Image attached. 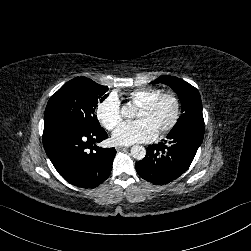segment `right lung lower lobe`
<instances>
[{"label": "right lung lower lobe", "mask_w": 251, "mask_h": 251, "mask_svg": "<svg viewBox=\"0 0 251 251\" xmlns=\"http://www.w3.org/2000/svg\"><path fill=\"white\" fill-rule=\"evenodd\" d=\"M106 138L108 135L100 125L86 128L57 119L44 123L47 156L58 173L78 187L94 188L109 177L116 150L92 146Z\"/></svg>", "instance_id": "right-lung-lower-lobe-1"}]
</instances>
